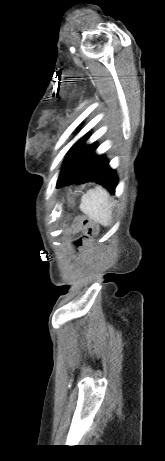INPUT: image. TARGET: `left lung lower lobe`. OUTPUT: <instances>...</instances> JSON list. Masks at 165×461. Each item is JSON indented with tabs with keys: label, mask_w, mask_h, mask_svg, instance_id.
Masks as SVG:
<instances>
[{
	"label": "left lung lower lobe",
	"mask_w": 165,
	"mask_h": 461,
	"mask_svg": "<svg viewBox=\"0 0 165 461\" xmlns=\"http://www.w3.org/2000/svg\"><path fill=\"white\" fill-rule=\"evenodd\" d=\"M87 137L84 136L70 150L57 181V187L74 183L97 182L111 193L115 192L118 179L108 161L94 154L95 145L84 146Z\"/></svg>",
	"instance_id": "0a47b994"
}]
</instances>
